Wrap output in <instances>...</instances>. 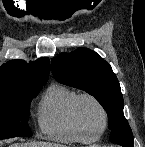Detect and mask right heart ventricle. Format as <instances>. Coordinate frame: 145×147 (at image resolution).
<instances>
[{"instance_id": "obj_1", "label": "right heart ventricle", "mask_w": 145, "mask_h": 147, "mask_svg": "<svg viewBox=\"0 0 145 147\" xmlns=\"http://www.w3.org/2000/svg\"><path fill=\"white\" fill-rule=\"evenodd\" d=\"M78 93L61 83L50 85L42 95L37 108L40 132L61 143L92 142L89 135L80 133L71 118V107Z\"/></svg>"}]
</instances>
